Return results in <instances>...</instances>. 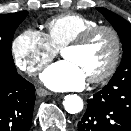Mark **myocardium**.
<instances>
[{
	"mask_svg": "<svg viewBox=\"0 0 131 131\" xmlns=\"http://www.w3.org/2000/svg\"><path fill=\"white\" fill-rule=\"evenodd\" d=\"M102 31L108 32L112 36L114 42V51L112 59L107 68L99 75L88 78V82L92 84L101 83L109 79L115 73L120 63L122 56V40L118 31L109 25H96L80 33L75 39L70 41L62 48L63 53L67 49L84 47L93 36Z\"/></svg>",
	"mask_w": 131,
	"mask_h": 131,
	"instance_id": "myocardium-1",
	"label": "myocardium"
}]
</instances>
